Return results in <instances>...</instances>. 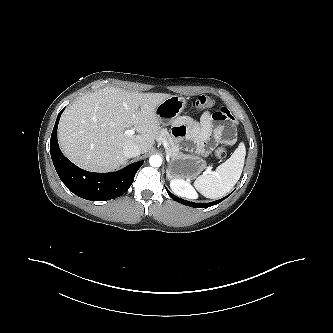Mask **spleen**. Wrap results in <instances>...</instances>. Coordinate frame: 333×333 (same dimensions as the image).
Wrapping results in <instances>:
<instances>
[{"mask_svg":"<svg viewBox=\"0 0 333 333\" xmlns=\"http://www.w3.org/2000/svg\"><path fill=\"white\" fill-rule=\"evenodd\" d=\"M246 148L241 142L231 157L210 174H202L194 181V187L207 198L225 196L238 182L244 167Z\"/></svg>","mask_w":333,"mask_h":333,"instance_id":"1","label":"spleen"}]
</instances>
